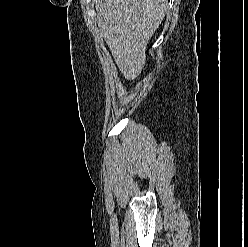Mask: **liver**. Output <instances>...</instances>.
<instances>
[{
    "instance_id": "liver-1",
    "label": "liver",
    "mask_w": 248,
    "mask_h": 247,
    "mask_svg": "<svg viewBox=\"0 0 248 247\" xmlns=\"http://www.w3.org/2000/svg\"><path fill=\"white\" fill-rule=\"evenodd\" d=\"M98 27L126 80L146 61L149 40L167 11V0H94Z\"/></svg>"
}]
</instances>
